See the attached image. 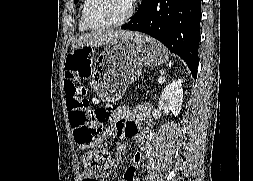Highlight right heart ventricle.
Listing matches in <instances>:
<instances>
[{
	"label": "right heart ventricle",
	"instance_id": "right-heart-ventricle-1",
	"mask_svg": "<svg viewBox=\"0 0 253 181\" xmlns=\"http://www.w3.org/2000/svg\"><path fill=\"white\" fill-rule=\"evenodd\" d=\"M86 4V0H83V4H82V9H81V15H80V20H79V30L80 31H88L90 30L89 27L86 26L84 19H83V10Z\"/></svg>",
	"mask_w": 253,
	"mask_h": 181
}]
</instances>
